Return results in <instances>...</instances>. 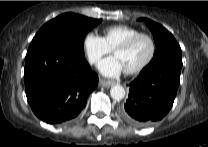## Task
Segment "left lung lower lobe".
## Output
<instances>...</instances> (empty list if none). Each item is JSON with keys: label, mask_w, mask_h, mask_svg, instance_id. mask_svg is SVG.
I'll use <instances>...</instances> for the list:
<instances>
[{"label": "left lung lower lobe", "mask_w": 208, "mask_h": 147, "mask_svg": "<svg viewBox=\"0 0 208 147\" xmlns=\"http://www.w3.org/2000/svg\"><path fill=\"white\" fill-rule=\"evenodd\" d=\"M181 68L172 62H162L142 70L130 83L129 97L119 109L120 117L137 127L161 120L173 105Z\"/></svg>", "instance_id": "0a47b994"}]
</instances>
